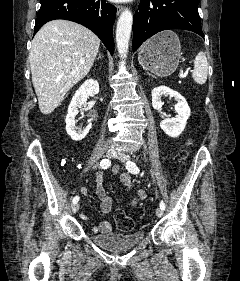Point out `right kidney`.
<instances>
[{"mask_svg":"<svg viewBox=\"0 0 240 281\" xmlns=\"http://www.w3.org/2000/svg\"><path fill=\"white\" fill-rule=\"evenodd\" d=\"M99 93V84L96 80L89 79L85 81L79 89L75 92L70 105L68 107V114L66 116V132L74 141H80L86 137L92 124L89 123L85 128H77L75 126V117L78 114V108L86 102L90 95Z\"/></svg>","mask_w":240,"mask_h":281,"instance_id":"1","label":"right kidney"}]
</instances>
